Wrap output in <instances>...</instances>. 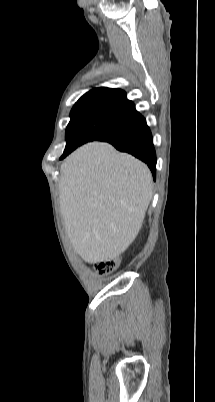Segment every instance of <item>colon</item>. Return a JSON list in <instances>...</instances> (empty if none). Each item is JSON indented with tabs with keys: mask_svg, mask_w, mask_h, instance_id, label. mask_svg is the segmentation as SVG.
<instances>
[{
	"mask_svg": "<svg viewBox=\"0 0 215 402\" xmlns=\"http://www.w3.org/2000/svg\"><path fill=\"white\" fill-rule=\"evenodd\" d=\"M118 266L117 259H108L100 261L96 264V269L100 274H107L114 271Z\"/></svg>",
	"mask_w": 215,
	"mask_h": 402,
	"instance_id": "obj_1",
	"label": "colon"
}]
</instances>
